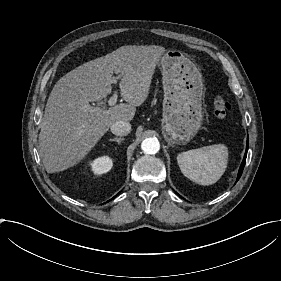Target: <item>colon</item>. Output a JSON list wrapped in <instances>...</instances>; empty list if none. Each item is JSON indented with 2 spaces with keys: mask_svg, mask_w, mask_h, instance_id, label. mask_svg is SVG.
Masks as SVG:
<instances>
[{
  "mask_svg": "<svg viewBox=\"0 0 281 281\" xmlns=\"http://www.w3.org/2000/svg\"><path fill=\"white\" fill-rule=\"evenodd\" d=\"M213 116L218 122H225L230 115V105L221 95H216L212 100Z\"/></svg>",
  "mask_w": 281,
  "mask_h": 281,
  "instance_id": "1",
  "label": "colon"
}]
</instances>
